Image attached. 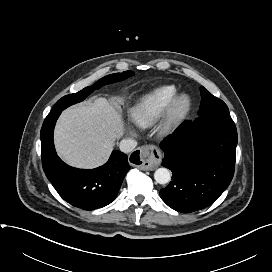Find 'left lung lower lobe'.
Instances as JSON below:
<instances>
[{"label":"left lung lower lobe","instance_id":"left-lung-lower-lobe-1","mask_svg":"<svg viewBox=\"0 0 272 272\" xmlns=\"http://www.w3.org/2000/svg\"><path fill=\"white\" fill-rule=\"evenodd\" d=\"M237 130L229 111L184 122L160 143L162 165L172 181L160 190L172 209L190 213L214 203L229 186L235 169Z\"/></svg>","mask_w":272,"mask_h":272}]
</instances>
